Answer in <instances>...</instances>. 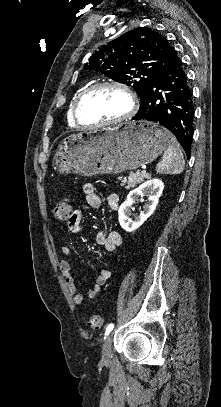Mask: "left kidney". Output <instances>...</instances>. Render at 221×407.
Listing matches in <instances>:
<instances>
[{
    "label": "left kidney",
    "mask_w": 221,
    "mask_h": 407,
    "mask_svg": "<svg viewBox=\"0 0 221 407\" xmlns=\"http://www.w3.org/2000/svg\"><path fill=\"white\" fill-rule=\"evenodd\" d=\"M163 189L164 184L161 180L151 179L130 191L127 195V199L121 204L118 210L120 226L127 232H132L139 228L147 218L153 214ZM146 194L149 195L148 203L145 204L143 211L132 220L130 218L132 215V205L139 200V197H143Z\"/></svg>",
    "instance_id": "obj_1"
}]
</instances>
